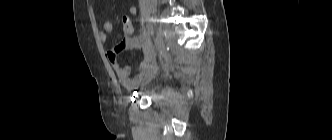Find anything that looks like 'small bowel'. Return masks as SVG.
<instances>
[{
  "mask_svg": "<svg viewBox=\"0 0 332 140\" xmlns=\"http://www.w3.org/2000/svg\"><path fill=\"white\" fill-rule=\"evenodd\" d=\"M129 13L135 15L137 8L131 6ZM113 31V24L105 21L99 32L101 42L105 43L108 35ZM132 49H138L142 53V60L139 66V73L132 75L131 67H121L118 63V54ZM107 58L116 74L117 81L128 89H133L147 82L153 75L152 50L149 41L142 36H124L112 49L107 52Z\"/></svg>",
  "mask_w": 332,
  "mask_h": 140,
  "instance_id": "c3829d8e",
  "label": "small bowel"
}]
</instances>
